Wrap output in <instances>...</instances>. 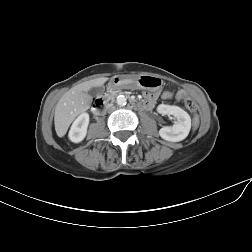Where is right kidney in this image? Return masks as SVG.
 <instances>
[{"label":"right kidney","instance_id":"obj_1","mask_svg":"<svg viewBox=\"0 0 252 252\" xmlns=\"http://www.w3.org/2000/svg\"><path fill=\"white\" fill-rule=\"evenodd\" d=\"M89 125V114L84 112L80 114L73 122L69 131V139L74 143L81 142L86 134Z\"/></svg>","mask_w":252,"mask_h":252}]
</instances>
